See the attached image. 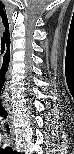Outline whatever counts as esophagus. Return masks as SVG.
<instances>
[{"mask_svg": "<svg viewBox=\"0 0 74 154\" xmlns=\"http://www.w3.org/2000/svg\"><path fill=\"white\" fill-rule=\"evenodd\" d=\"M7 113H8V116H9V119H10V123H11V138H10V144H13V136H14V128H13V115H12V112H11V108L10 107H7L5 108Z\"/></svg>", "mask_w": 74, "mask_h": 154, "instance_id": "obj_1", "label": "esophagus"}]
</instances>
